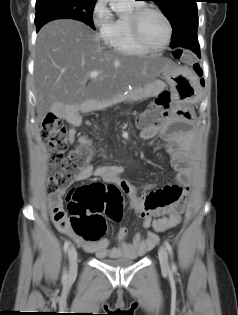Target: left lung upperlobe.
<instances>
[{
    "instance_id": "obj_1",
    "label": "left lung upper lobe",
    "mask_w": 238,
    "mask_h": 315,
    "mask_svg": "<svg viewBox=\"0 0 238 315\" xmlns=\"http://www.w3.org/2000/svg\"><path fill=\"white\" fill-rule=\"evenodd\" d=\"M172 26V43L197 37L198 15L196 0H152Z\"/></svg>"
}]
</instances>
